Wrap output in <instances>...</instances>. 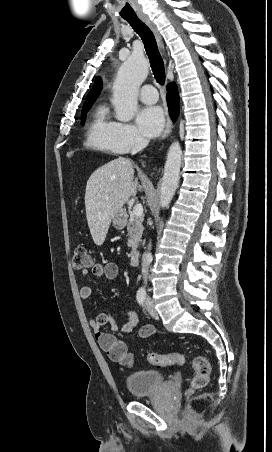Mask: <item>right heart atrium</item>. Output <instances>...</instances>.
Returning <instances> with one entry per match:
<instances>
[{"label":"right heart atrium","mask_w":272,"mask_h":452,"mask_svg":"<svg viewBox=\"0 0 272 452\" xmlns=\"http://www.w3.org/2000/svg\"><path fill=\"white\" fill-rule=\"evenodd\" d=\"M145 139L139 130L129 123H118L115 132V143L121 153L141 147Z\"/></svg>","instance_id":"1"}]
</instances>
